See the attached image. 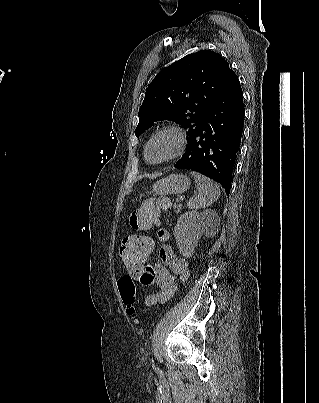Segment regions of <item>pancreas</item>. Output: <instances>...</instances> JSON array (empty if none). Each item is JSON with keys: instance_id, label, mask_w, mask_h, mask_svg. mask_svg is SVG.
I'll use <instances>...</instances> for the list:
<instances>
[{"instance_id": "obj_1", "label": "pancreas", "mask_w": 319, "mask_h": 403, "mask_svg": "<svg viewBox=\"0 0 319 403\" xmlns=\"http://www.w3.org/2000/svg\"><path fill=\"white\" fill-rule=\"evenodd\" d=\"M181 208H182V205H181V204H179V205H174L175 213H178Z\"/></svg>"}]
</instances>
